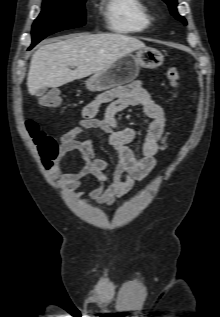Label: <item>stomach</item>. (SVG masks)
I'll use <instances>...</instances> for the list:
<instances>
[{
  "label": "stomach",
  "mask_w": 220,
  "mask_h": 317,
  "mask_svg": "<svg viewBox=\"0 0 220 317\" xmlns=\"http://www.w3.org/2000/svg\"><path fill=\"white\" fill-rule=\"evenodd\" d=\"M163 61L164 57L158 50L139 49L135 54L128 53L122 56L108 69L92 75L85 81V86L92 92L108 90L133 81L141 67L154 69L161 66Z\"/></svg>",
  "instance_id": "stomach-1"
}]
</instances>
